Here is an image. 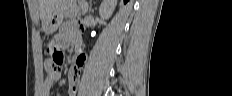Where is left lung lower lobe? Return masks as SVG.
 I'll return each mask as SVG.
<instances>
[{
    "mask_svg": "<svg viewBox=\"0 0 232 96\" xmlns=\"http://www.w3.org/2000/svg\"><path fill=\"white\" fill-rule=\"evenodd\" d=\"M128 0H124V3H126Z\"/></svg>",
    "mask_w": 232,
    "mask_h": 96,
    "instance_id": "1",
    "label": "left lung lower lobe"
}]
</instances>
